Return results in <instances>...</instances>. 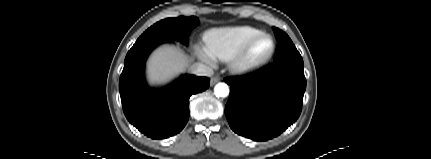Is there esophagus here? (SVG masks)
Segmentation results:
<instances>
[{
    "mask_svg": "<svg viewBox=\"0 0 431 159\" xmlns=\"http://www.w3.org/2000/svg\"><path fill=\"white\" fill-rule=\"evenodd\" d=\"M220 78L219 77H212L210 80V85L213 86L215 85L217 82H219Z\"/></svg>",
    "mask_w": 431,
    "mask_h": 159,
    "instance_id": "34e87169",
    "label": "esophagus"
}]
</instances>
